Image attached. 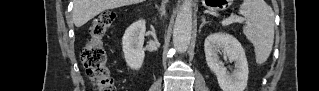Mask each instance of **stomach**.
Segmentation results:
<instances>
[{
	"label": "stomach",
	"instance_id": "0dacf381",
	"mask_svg": "<svg viewBox=\"0 0 319 91\" xmlns=\"http://www.w3.org/2000/svg\"><path fill=\"white\" fill-rule=\"evenodd\" d=\"M204 4L208 5V8L215 10H224L228 5V0H213V1H204Z\"/></svg>",
	"mask_w": 319,
	"mask_h": 91
}]
</instances>
